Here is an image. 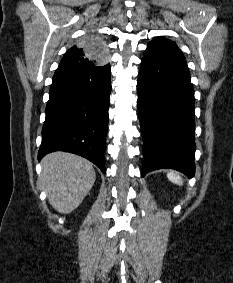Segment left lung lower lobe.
I'll return each instance as SVG.
<instances>
[{
    "instance_id": "1",
    "label": "left lung lower lobe",
    "mask_w": 233,
    "mask_h": 283,
    "mask_svg": "<svg viewBox=\"0 0 233 283\" xmlns=\"http://www.w3.org/2000/svg\"><path fill=\"white\" fill-rule=\"evenodd\" d=\"M137 89L144 140L141 175L172 168L193 177L195 98L181 50L173 44L148 45Z\"/></svg>"
}]
</instances>
